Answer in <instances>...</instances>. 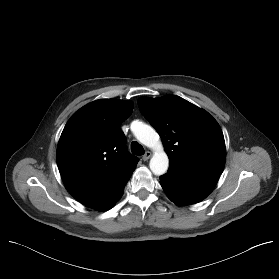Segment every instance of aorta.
<instances>
[{
  "label": "aorta",
  "instance_id": "1",
  "mask_svg": "<svg viewBox=\"0 0 279 279\" xmlns=\"http://www.w3.org/2000/svg\"><path fill=\"white\" fill-rule=\"evenodd\" d=\"M131 130L138 141L154 150L149 166L154 175L160 176L167 172L169 159L159 140L157 132L149 125L135 121Z\"/></svg>",
  "mask_w": 279,
  "mask_h": 279
}]
</instances>
